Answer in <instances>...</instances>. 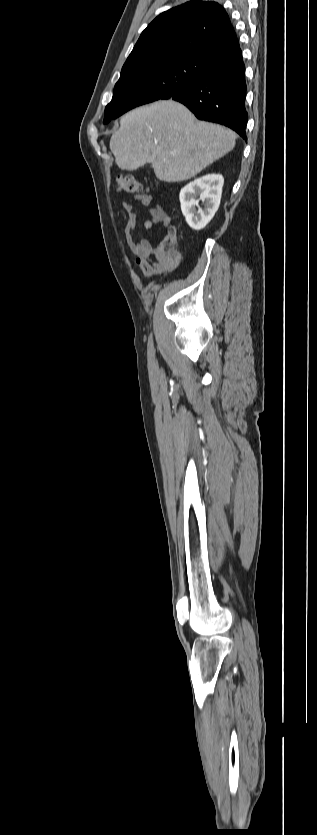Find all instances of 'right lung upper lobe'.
Instances as JSON below:
<instances>
[{"label":"right lung upper lobe","instance_id":"right-lung-upper-lobe-1","mask_svg":"<svg viewBox=\"0 0 317 835\" xmlns=\"http://www.w3.org/2000/svg\"><path fill=\"white\" fill-rule=\"evenodd\" d=\"M235 38L229 17L216 2L194 0L163 12L142 32L120 76L211 50Z\"/></svg>","mask_w":317,"mask_h":835}]
</instances>
